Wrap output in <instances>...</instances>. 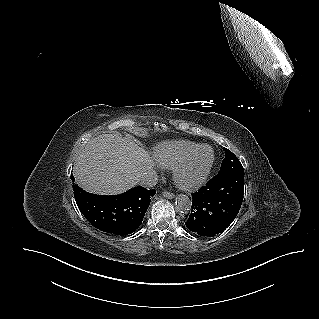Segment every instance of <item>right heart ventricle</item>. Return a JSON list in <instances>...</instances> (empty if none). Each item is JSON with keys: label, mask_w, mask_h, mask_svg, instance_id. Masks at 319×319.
Wrapping results in <instances>:
<instances>
[{"label": "right heart ventricle", "mask_w": 319, "mask_h": 319, "mask_svg": "<svg viewBox=\"0 0 319 319\" xmlns=\"http://www.w3.org/2000/svg\"><path fill=\"white\" fill-rule=\"evenodd\" d=\"M199 145L186 140L164 142L156 146L155 157L161 166L172 169Z\"/></svg>", "instance_id": "obj_1"}]
</instances>
